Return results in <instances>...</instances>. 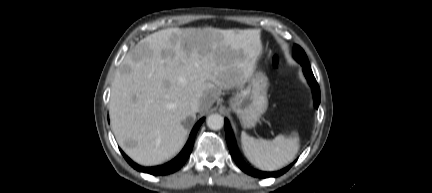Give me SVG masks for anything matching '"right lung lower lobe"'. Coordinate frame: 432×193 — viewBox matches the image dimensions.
I'll return each mask as SVG.
<instances>
[{"mask_svg":"<svg viewBox=\"0 0 432 193\" xmlns=\"http://www.w3.org/2000/svg\"><path fill=\"white\" fill-rule=\"evenodd\" d=\"M204 118L200 119L197 124L194 126V128L191 131L190 137L186 143V145L184 146L183 150L179 153V155L177 157H175L172 161L161 165V166H155V167H141L139 165H137L136 163H134L131 159H129L122 150L121 153L124 156V158L126 159V161L136 170L141 171V172H145V173H149L152 175H164V174H170L173 173L175 171H177L178 169H180L182 167V165L186 162V160L188 159L192 148H193V143H194V139H195V135L199 129V126L201 125V123L203 122Z\"/></svg>","mask_w":432,"mask_h":193,"instance_id":"obj_1","label":"right lung lower lobe"}]
</instances>
